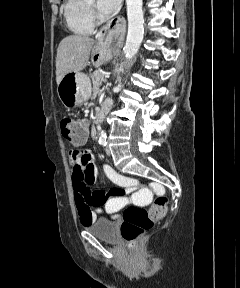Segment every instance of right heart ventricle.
Here are the masks:
<instances>
[{"instance_id":"e07e8e85","label":"right heart ventricle","mask_w":240,"mask_h":288,"mask_svg":"<svg viewBox=\"0 0 240 288\" xmlns=\"http://www.w3.org/2000/svg\"><path fill=\"white\" fill-rule=\"evenodd\" d=\"M64 17L70 31L78 35H89L94 30L91 9L87 0H65Z\"/></svg>"}]
</instances>
